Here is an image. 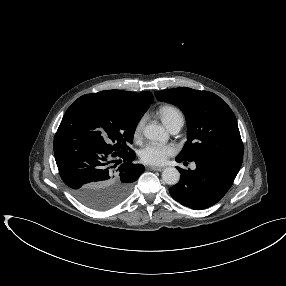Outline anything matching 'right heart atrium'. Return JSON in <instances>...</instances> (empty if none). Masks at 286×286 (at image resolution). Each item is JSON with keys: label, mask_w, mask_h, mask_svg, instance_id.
I'll list each match as a JSON object with an SVG mask.
<instances>
[{"label": "right heart atrium", "mask_w": 286, "mask_h": 286, "mask_svg": "<svg viewBox=\"0 0 286 286\" xmlns=\"http://www.w3.org/2000/svg\"><path fill=\"white\" fill-rule=\"evenodd\" d=\"M144 121L145 117H142L135 125L134 131H133V136L137 140L141 137L142 131H143V126H144Z\"/></svg>", "instance_id": "d8ad5b80"}]
</instances>
